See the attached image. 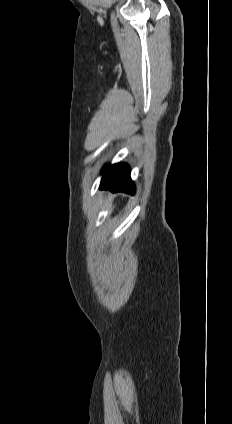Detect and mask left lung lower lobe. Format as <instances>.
Instances as JSON below:
<instances>
[{
	"instance_id": "1",
	"label": "left lung lower lobe",
	"mask_w": 232,
	"mask_h": 424,
	"mask_svg": "<svg viewBox=\"0 0 232 424\" xmlns=\"http://www.w3.org/2000/svg\"><path fill=\"white\" fill-rule=\"evenodd\" d=\"M100 189L134 194L135 186L130 178L129 166L124 163L107 166L103 170Z\"/></svg>"
}]
</instances>
